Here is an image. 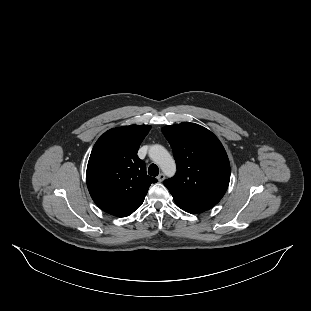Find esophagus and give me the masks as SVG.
Returning <instances> with one entry per match:
<instances>
[{"label": "esophagus", "instance_id": "obj_1", "mask_svg": "<svg viewBox=\"0 0 311 311\" xmlns=\"http://www.w3.org/2000/svg\"><path fill=\"white\" fill-rule=\"evenodd\" d=\"M157 179L158 181L162 182L164 179H165V175L163 173H160L158 176H157Z\"/></svg>", "mask_w": 311, "mask_h": 311}]
</instances>
